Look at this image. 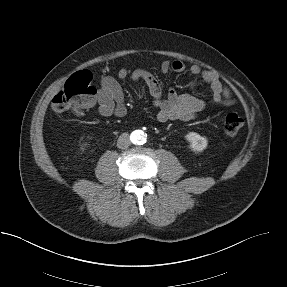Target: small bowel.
<instances>
[{
	"label": "small bowel",
	"mask_w": 287,
	"mask_h": 287,
	"mask_svg": "<svg viewBox=\"0 0 287 287\" xmlns=\"http://www.w3.org/2000/svg\"><path fill=\"white\" fill-rule=\"evenodd\" d=\"M160 69L163 73H182L187 70L186 65L180 60L163 61ZM190 74L200 77L211 89V98L206 101L189 94H179L173 88H168L166 95L158 79L149 71L136 69L129 71L121 68L118 79L125 80L130 77L135 82H143L147 86L157 109V119L160 122L189 121L194 119L208 104L215 106H230L235 100L231 91L223 83L220 76L212 70H204L198 65L188 68ZM96 104L98 112L103 117H123L127 113L123 89L112 76L101 78L100 89L97 94ZM79 115L82 113L79 111Z\"/></svg>",
	"instance_id": "small-bowel-1"
}]
</instances>
